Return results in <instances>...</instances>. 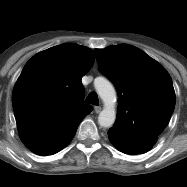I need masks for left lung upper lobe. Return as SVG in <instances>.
I'll return each mask as SVG.
<instances>
[{
  "label": "left lung upper lobe",
  "mask_w": 187,
  "mask_h": 187,
  "mask_svg": "<svg viewBox=\"0 0 187 187\" xmlns=\"http://www.w3.org/2000/svg\"><path fill=\"white\" fill-rule=\"evenodd\" d=\"M99 71L116 87L118 110L110 130L158 138L175 107V92L168 72L142 50L120 44L94 50ZM136 142L143 141L134 137Z\"/></svg>",
  "instance_id": "5c2ea615"
}]
</instances>
